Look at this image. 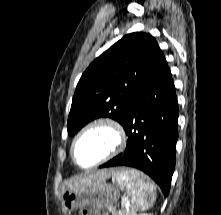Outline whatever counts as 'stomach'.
<instances>
[{
	"label": "stomach",
	"instance_id": "0dacf381",
	"mask_svg": "<svg viewBox=\"0 0 221 215\" xmlns=\"http://www.w3.org/2000/svg\"><path fill=\"white\" fill-rule=\"evenodd\" d=\"M118 197V185L101 182L83 189H66L62 193V205L68 212L84 206L112 209Z\"/></svg>",
	"mask_w": 221,
	"mask_h": 215
}]
</instances>
